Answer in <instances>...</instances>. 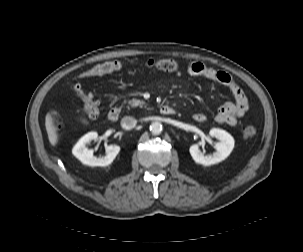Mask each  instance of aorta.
Instances as JSON below:
<instances>
[{"mask_svg":"<svg viewBox=\"0 0 303 252\" xmlns=\"http://www.w3.org/2000/svg\"><path fill=\"white\" fill-rule=\"evenodd\" d=\"M150 131L154 135H159L162 131V124L160 122H153L150 125Z\"/></svg>","mask_w":303,"mask_h":252,"instance_id":"obj_1","label":"aorta"}]
</instances>
